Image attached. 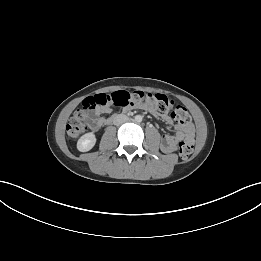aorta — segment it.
<instances>
[{
	"mask_svg": "<svg viewBox=\"0 0 261 261\" xmlns=\"http://www.w3.org/2000/svg\"><path fill=\"white\" fill-rule=\"evenodd\" d=\"M142 119H143V117H142L141 115H136V116H135V121H136V122H141Z\"/></svg>",
	"mask_w": 261,
	"mask_h": 261,
	"instance_id": "obj_1",
	"label": "aorta"
}]
</instances>
